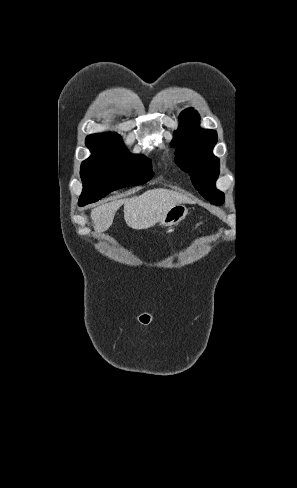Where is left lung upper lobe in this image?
<instances>
[{"mask_svg": "<svg viewBox=\"0 0 297 488\" xmlns=\"http://www.w3.org/2000/svg\"><path fill=\"white\" fill-rule=\"evenodd\" d=\"M180 127L174 134L172 147L176 148V163L191 175L196 190L213 204H222L224 194L217 190L219 159L212 153L217 142L214 130L199 127V115L192 108L180 116Z\"/></svg>", "mask_w": 297, "mask_h": 488, "instance_id": "1", "label": "left lung upper lobe"}]
</instances>
